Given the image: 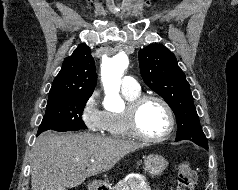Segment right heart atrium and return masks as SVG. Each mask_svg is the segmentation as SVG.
<instances>
[{
    "instance_id": "1",
    "label": "right heart atrium",
    "mask_w": 238,
    "mask_h": 190,
    "mask_svg": "<svg viewBox=\"0 0 238 190\" xmlns=\"http://www.w3.org/2000/svg\"><path fill=\"white\" fill-rule=\"evenodd\" d=\"M99 92H92L85 101L81 118L88 130L102 133L106 131L107 112L100 107Z\"/></svg>"
}]
</instances>
